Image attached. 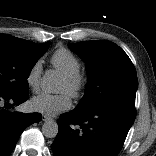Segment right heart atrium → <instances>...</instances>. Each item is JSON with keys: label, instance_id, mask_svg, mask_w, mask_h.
I'll list each match as a JSON object with an SVG mask.
<instances>
[{"label": "right heart atrium", "instance_id": "1", "mask_svg": "<svg viewBox=\"0 0 156 156\" xmlns=\"http://www.w3.org/2000/svg\"><path fill=\"white\" fill-rule=\"evenodd\" d=\"M41 73L42 63L40 60H37L32 64L26 75V83L34 92H37L39 90Z\"/></svg>", "mask_w": 156, "mask_h": 156}]
</instances>
